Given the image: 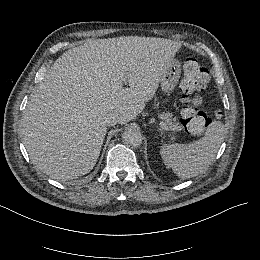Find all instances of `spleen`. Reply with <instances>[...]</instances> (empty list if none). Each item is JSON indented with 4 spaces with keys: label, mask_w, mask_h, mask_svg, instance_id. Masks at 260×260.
Masks as SVG:
<instances>
[{
    "label": "spleen",
    "mask_w": 260,
    "mask_h": 260,
    "mask_svg": "<svg viewBox=\"0 0 260 260\" xmlns=\"http://www.w3.org/2000/svg\"><path fill=\"white\" fill-rule=\"evenodd\" d=\"M225 127L222 121L213 120L204 135L188 144L164 143L159 146V155L166 169L179 178H192L204 172L224 140Z\"/></svg>",
    "instance_id": "1"
}]
</instances>
